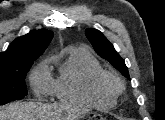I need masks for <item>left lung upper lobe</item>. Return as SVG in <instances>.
Instances as JSON below:
<instances>
[{
	"instance_id": "5c2ea615",
	"label": "left lung upper lobe",
	"mask_w": 165,
	"mask_h": 120,
	"mask_svg": "<svg viewBox=\"0 0 165 120\" xmlns=\"http://www.w3.org/2000/svg\"><path fill=\"white\" fill-rule=\"evenodd\" d=\"M85 34L97 54L109 61L116 69H118L126 78L130 80L128 69L124 60L116 52L113 45L107 40V38L99 30L94 28L86 29Z\"/></svg>"
}]
</instances>
